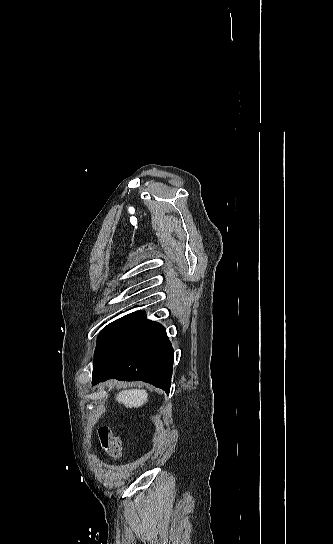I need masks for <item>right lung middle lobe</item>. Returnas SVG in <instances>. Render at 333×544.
I'll return each instance as SVG.
<instances>
[{
    "instance_id": "1",
    "label": "right lung middle lobe",
    "mask_w": 333,
    "mask_h": 544,
    "mask_svg": "<svg viewBox=\"0 0 333 544\" xmlns=\"http://www.w3.org/2000/svg\"><path fill=\"white\" fill-rule=\"evenodd\" d=\"M154 323L146 319L145 313L136 311L108 324L98 335L94 366L101 365L113 354L139 338Z\"/></svg>"
}]
</instances>
